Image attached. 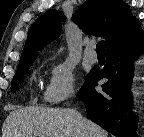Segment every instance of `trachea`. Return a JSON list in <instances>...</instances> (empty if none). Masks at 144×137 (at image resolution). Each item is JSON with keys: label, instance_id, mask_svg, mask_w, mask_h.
Segmentation results:
<instances>
[{"label": "trachea", "instance_id": "1", "mask_svg": "<svg viewBox=\"0 0 144 137\" xmlns=\"http://www.w3.org/2000/svg\"><path fill=\"white\" fill-rule=\"evenodd\" d=\"M97 54H105V44L104 41H99L96 45Z\"/></svg>", "mask_w": 144, "mask_h": 137}]
</instances>
